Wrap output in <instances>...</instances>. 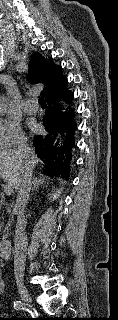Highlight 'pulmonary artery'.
I'll return each instance as SVG.
<instances>
[{"instance_id": "e3ab8cb5", "label": "pulmonary artery", "mask_w": 118, "mask_h": 320, "mask_svg": "<svg viewBox=\"0 0 118 320\" xmlns=\"http://www.w3.org/2000/svg\"><path fill=\"white\" fill-rule=\"evenodd\" d=\"M22 109L27 113H34L38 110V104L34 100H25Z\"/></svg>"}]
</instances>
